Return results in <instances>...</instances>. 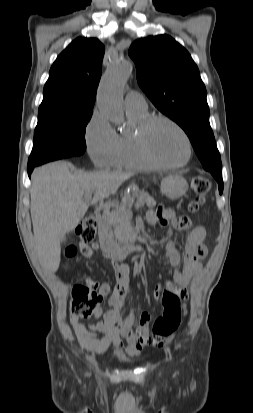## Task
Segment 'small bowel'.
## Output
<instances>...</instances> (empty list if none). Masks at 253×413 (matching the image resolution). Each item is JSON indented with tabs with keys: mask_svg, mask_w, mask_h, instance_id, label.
Here are the masks:
<instances>
[{
	"mask_svg": "<svg viewBox=\"0 0 253 413\" xmlns=\"http://www.w3.org/2000/svg\"><path fill=\"white\" fill-rule=\"evenodd\" d=\"M147 220L152 225L166 227L172 225L180 230H189L184 252L181 255L174 247L173 243L166 245L165 258L175 268L173 273L174 284L165 282L166 287H170L180 298L188 297V285L193 276L202 269L201 260L207 254L205 239L207 236L206 228L203 225L191 227L190 221L186 217L177 218L175 211L171 208L160 207L156 211L147 214ZM98 243L91 245L80 244V250L84 257L91 258L94 252L98 251ZM115 284L109 304L111 309L103 313L101 307L95 312L94 323H84L82 318L70 315L69 321L79 344L86 350L96 353H104L110 348H124L129 355H137L146 346H161L164 343L156 341L149 333L151 316L142 313L138 319L134 317L133 311L126 318L123 317L124 295L129 287V268L126 264L114 261ZM89 283H95L89 281ZM162 285L157 284L152 292L153 298L159 300ZM99 290L107 295L110 285L103 283ZM122 338L125 339L124 345Z\"/></svg>",
	"mask_w": 253,
	"mask_h": 413,
	"instance_id": "c3829d8e",
	"label": "small bowel"
}]
</instances>
